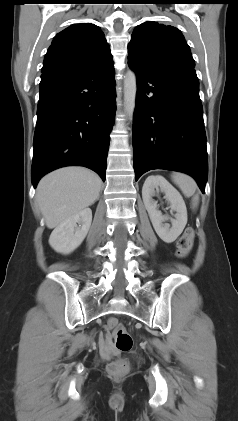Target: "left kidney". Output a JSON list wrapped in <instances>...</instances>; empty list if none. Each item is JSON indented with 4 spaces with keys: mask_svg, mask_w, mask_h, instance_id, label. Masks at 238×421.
<instances>
[{
    "mask_svg": "<svg viewBox=\"0 0 238 421\" xmlns=\"http://www.w3.org/2000/svg\"><path fill=\"white\" fill-rule=\"evenodd\" d=\"M155 189H160L165 194L171 210L176 212L174 219L163 216L157 210V202L152 198L156 193ZM142 198L157 235L166 243L174 242L187 224V209L180 193L162 176H149L142 188ZM169 219L171 227L163 223Z\"/></svg>",
    "mask_w": 238,
    "mask_h": 421,
    "instance_id": "left-kidney-1",
    "label": "left kidney"
}]
</instances>
